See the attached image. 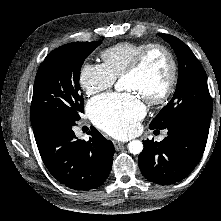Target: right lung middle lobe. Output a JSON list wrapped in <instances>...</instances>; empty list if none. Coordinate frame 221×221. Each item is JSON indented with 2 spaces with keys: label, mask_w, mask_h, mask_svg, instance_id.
<instances>
[{
  "label": "right lung middle lobe",
  "mask_w": 221,
  "mask_h": 221,
  "mask_svg": "<svg viewBox=\"0 0 221 221\" xmlns=\"http://www.w3.org/2000/svg\"><path fill=\"white\" fill-rule=\"evenodd\" d=\"M101 44L74 42L53 50L40 65L30 109L32 126L51 117L77 121L84 112L80 94V69L87 56Z\"/></svg>",
  "instance_id": "obj_1"
}]
</instances>
